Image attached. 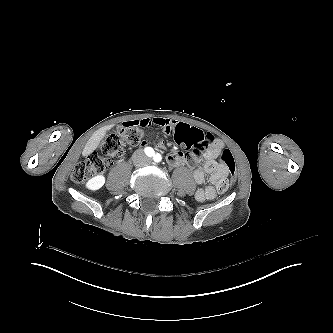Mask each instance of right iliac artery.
<instances>
[{
	"mask_svg": "<svg viewBox=\"0 0 333 333\" xmlns=\"http://www.w3.org/2000/svg\"><path fill=\"white\" fill-rule=\"evenodd\" d=\"M145 153L147 156L152 157L154 155V150L151 147L145 148Z\"/></svg>",
	"mask_w": 333,
	"mask_h": 333,
	"instance_id": "right-iliac-artery-1",
	"label": "right iliac artery"
}]
</instances>
